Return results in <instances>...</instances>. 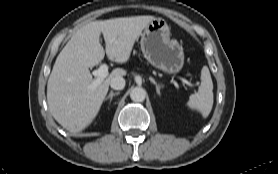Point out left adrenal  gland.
Instances as JSON below:
<instances>
[{"instance_id":"1","label":"left adrenal gland","mask_w":278,"mask_h":174,"mask_svg":"<svg viewBox=\"0 0 278 174\" xmlns=\"http://www.w3.org/2000/svg\"><path fill=\"white\" fill-rule=\"evenodd\" d=\"M149 80L155 85V87H156V92H157L158 95H160V94H161V93H160V90H161V88H162V85L157 84V82H156L152 77H150Z\"/></svg>"}]
</instances>
